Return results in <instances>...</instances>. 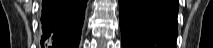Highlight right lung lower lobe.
Here are the masks:
<instances>
[{
    "label": "right lung lower lobe",
    "mask_w": 213,
    "mask_h": 48,
    "mask_svg": "<svg viewBox=\"0 0 213 48\" xmlns=\"http://www.w3.org/2000/svg\"><path fill=\"white\" fill-rule=\"evenodd\" d=\"M87 0H44L41 39L49 48H77Z\"/></svg>",
    "instance_id": "obj_1"
}]
</instances>
